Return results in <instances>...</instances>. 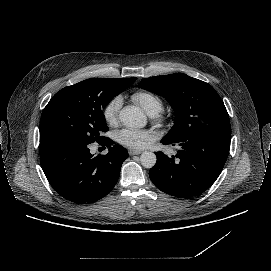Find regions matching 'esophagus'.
Masks as SVG:
<instances>
[{"instance_id": "esophagus-1", "label": "esophagus", "mask_w": 271, "mask_h": 271, "mask_svg": "<svg viewBox=\"0 0 271 271\" xmlns=\"http://www.w3.org/2000/svg\"><path fill=\"white\" fill-rule=\"evenodd\" d=\"M142 151L141 150H129V155L133 156V155H138L141 154Z\"/></svg>"}]
</instances>
